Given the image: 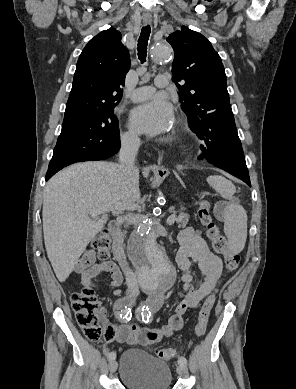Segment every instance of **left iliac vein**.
I'll list each match as a JSON object with an SVG mask.
<instances>
[{
    "label": "left iliac vein",
    "instance_id": "4c4485c4",
    "mask_svg": "<svg viewBox=\"0 0 296 389\" xmlns=\"http://www.w3.org/2000/svg\"><path fill=\"white\" fill-rule=\"evenodd\" d=\"M177 373L179 375H186L187 374V366L184 364H179L177 367Z\"/></svg>",
    "mask_w": 296,
    "mask_h": 389
}]
</instances>
